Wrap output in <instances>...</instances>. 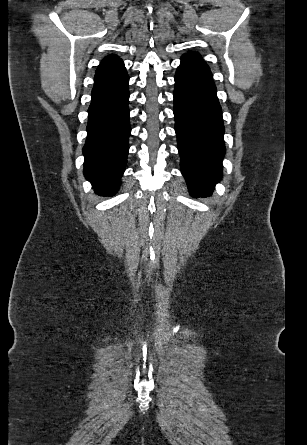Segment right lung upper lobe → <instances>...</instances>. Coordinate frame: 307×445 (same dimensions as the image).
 I'll return each mask as SVG.
<instances>
[{
  "label": "right lung upper lobe",
  "mask_w": 307,
  "mask_h": 445,
  "mask_svg": "<svg viewBox=\"0 0 307 445\" xmlns=\"http://www.w3.org/2000/svg\"><path fill=\"white\" fill-rule=\"evenodd\" d=\"M121 63L123 62L119 57L115 55H109L102 60L101 64L98 66L96 73L109 70Z\"/></svg>",
  "instance_id": "right-lung-upper-lobe-1"
}]
</instances>
